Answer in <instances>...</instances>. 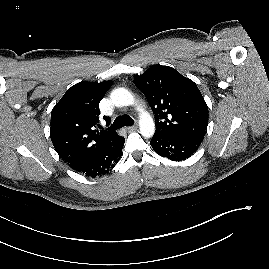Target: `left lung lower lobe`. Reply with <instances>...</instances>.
<instances>
[{
	"instance_id": "0a47b994",
	"label": "left lung lower lobe",
	"mask_w": 269,
	"mask_h": 269,
	"mask_svg": "<svg viewBox=\"0 0 269 269\" xmlns=\"http://www.w3.org/2000/svg\"><path fill=\"white\" fill-rule=\"evenodd\" d=\"M204 137H172L155 133L151 139L154 151L162 157L181 161L190 157L200 146Z\"/></svg>"
}]
</instances>
